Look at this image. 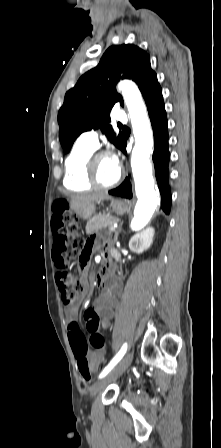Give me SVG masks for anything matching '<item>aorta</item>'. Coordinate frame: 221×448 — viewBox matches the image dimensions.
Returning a JSON list of instances; mask_svg holds the SVG:
<instances>
[{
    "instance_id": "762f6f07",
    "label": "aorta",
    "mask_w": 221,
    "mask_h": 448,
    "mask_svg": "<svg viewBox=\"0 0 221 448\" xmlns=\"http://www.w3.org/2000/svg\"><path fill=\"white\" fill-rule=\"evenodd\" d=\"M118 88L122 90L135 137L131 168L138 201L134 209L131 228L139 230L149 222L158 204V196L154 190L152 166L149 161L153 151V133L138 87L133 82L125 80L119 83Z\"/></svg>"
}]
</instances>
